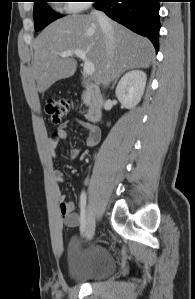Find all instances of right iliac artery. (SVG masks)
<instances>
[{"instance_id":"1","label":"right iliac artery","mask_w":195,"mask_h":299,"mask_svg":"<svg viewBox=\"0 0 195 299\" xmlns=\"http://www.w3.org/2000/svg\"><path fill=\"white\" fill-rule=\"evenodd\" d=\"M80 210H81V232L85 231L86 227V193L82 191L80 195Z\"/></svg>"}]
</instances>
